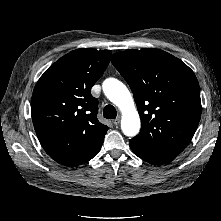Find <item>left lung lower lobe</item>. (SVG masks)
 <instances>
[{"label": "left lung lower lobe", "instance_id": "0a47b994", "mask_svg": "<svg viewBox=\"0 0 221 221\" xmlns=\"http://www.w3.org/2000/svg\"><path fill=\"white\" fill-rule=\"evenodd\" d=\"M130 148L132 149V151L134 152L136 156L152 164H165V163L172 161L175 158L174 155L144 151V150L135 148L132 145H130Z\"/></svg>", "mask_w": 221, "mask_h": 221}]
</instances>
